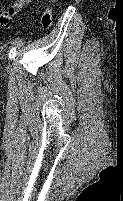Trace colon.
<instances>
[{
    "mask_svg": "<svg viewBox=\"0 0 123 201\" xmlns=\"http://www.w3.org/2000/svg\"><path fill=\"white\" fill-rule=\"evenodd\" d=\"M53 1L54 0H48L46 8L39 17L40 24L46 29L51 26L53 21V10H52Z\"/></svg>",
    "mask_w": 123,
    "mask_h": 201,
    "instance_id": "colon-1",
    "label": "colon"
}]
</instances>
